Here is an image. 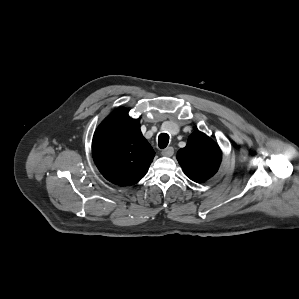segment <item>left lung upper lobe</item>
<instances>
[{
    "instance_id": "left-lung-upper-lobe-1",
    "label": "left lung upper lobe",
    "mask_w": 299,
    "mask_h": 299,
    "mask_svg": "<svg viewBox=\"0 0 299 299\" xmlns=\"http://www.w3.org/2000/svg\"><path fill=\"white\" fill-rule=\"evenodd\" d=\"M221 158L219 146L200 131L192 133L186 147L177 153V160L184 173L197 183L204 182L215 175Z\"/></svg>"
}]
</instances>
